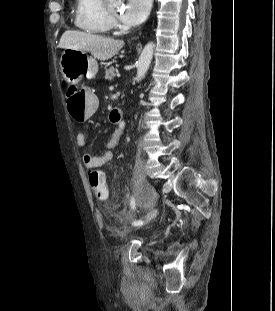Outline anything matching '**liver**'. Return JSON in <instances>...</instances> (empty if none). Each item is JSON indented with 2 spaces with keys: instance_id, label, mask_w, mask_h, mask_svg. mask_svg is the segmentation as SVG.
Here are the masks:
<instances>
[{
  "instance_id": "1",
  "label": "liver",
  "mask_w": 275,
  "mask_h": 311,
  "mask_svg": "<svg viewBox=\"0 0 275 311\" xmlns=\"http://www.w3.org/2000/svg\"><path fill=\"white\" fill-rule=\"evenodd\" d=\"M123 46L122 40L82 31H65L59 42L60 48L90 52L101 61L111 59Z\"/></svg>"
}]
</instances>
